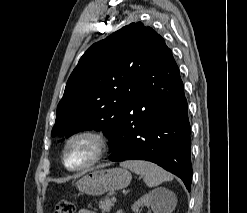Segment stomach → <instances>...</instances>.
<instances>
[{
  "instance_id": "stomach-1",
  "label": "stomach",
  "mask_w": 247,
  "mask_h": 213,
  "mask_svg": "<svg viewBox=\"0 0 247 213\" xmlns=\"http://www.w3.org/2000/svg\"><path fill=\"white\" fill-rule=\"evenodd\" d=\"M131 178V173L123 168L98 169L85 174L77 181L76 187L84 194L100 196L127 187Z\"/></svg>"
}]
</instances>
